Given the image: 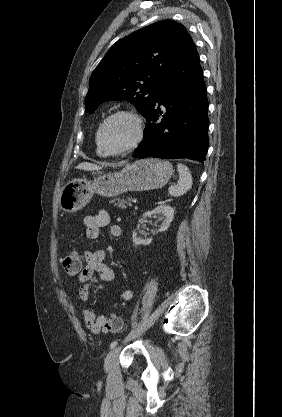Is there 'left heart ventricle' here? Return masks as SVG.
<instances>
[{
    "label": "left heart ventricle",
    "mask_w": 282,
    "mask_h": 417,
    "mask_svg": "<svg viewBox=\"0 0 282 417\" xmlns=\"http://www.w3.org/2000/svg\"><path fill=\"white\" fill-rule=\"evenodd\" d=\"M132 136V124L126 119H119L114 121L107 129L105 145L109 148H115L125 144Z\"/></svg>",
    "instance_id": "b2bd125f"
}]
</instances>
